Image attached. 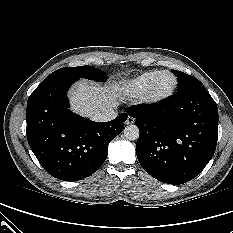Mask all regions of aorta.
<instances>
[{
    "mask_svg": "<svg viewBox=\"0 0 233 233\" xmlns=\"http://www.w3.org/2000/svg\"><path fill=\"white\" fill-rule=\"evenodd\" d=\"M139 128L136 125H128L124 129V136L130 141H135L139 138Z\"/></svg>",
    "mask_w": 233,
    "mask_h": 233,
    "instance_id": "1",
    "label": "aorta"
}]
</instances>
